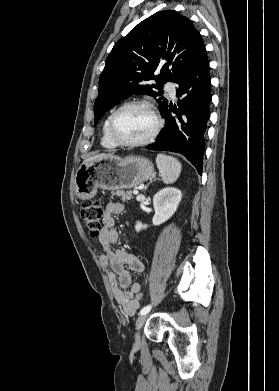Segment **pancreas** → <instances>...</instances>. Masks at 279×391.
<instances>
[{
    "instance_id": "1",
    "label": "pancreas",
    "mask_w": 279,
    "mask_h": 391,
    "mask_svg": "<svg viewBox=\"0 0 279 391\" xmlns=\"http://www.w3.org/2000/svg\"><path fill=\"white\" fill-rule=\"evenodd\" d=\"M112 195L113 196L115 195L117 197H121L123 202H127L128 200L133 198L132 191L124 192V191L118 190L116 192H112Z\"/></svg>"
}]
</instances>
